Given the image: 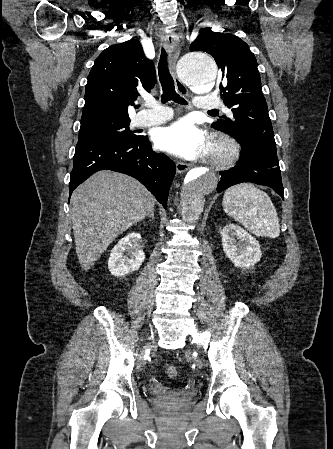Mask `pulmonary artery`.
Returning a JSON list of instances; mask_svg holds the SVG:
<instances>
[{
	"mask_svg": "<svg viewBox=\"0 0 333 449\" xmlns=\"http://www.w3.org/2000/svg\"><path fill=\"white\" fill-rule=\"evenodd\" d=\"M220 99L213 93H203L194 100V106L199 110H211L220 105ZM152 108L143 110L136 118V125L149 126L164 122L171 118V109L156 104Z\"/></svg>",
	"mask_w": 333,
	"mask_h": 449,
	"instance_id": "pulmonary-artery-1",
	"label": "pulmonary artery"
}]
</instances>
